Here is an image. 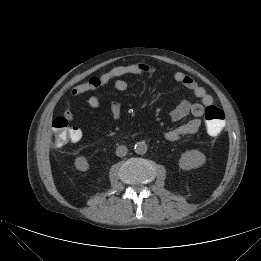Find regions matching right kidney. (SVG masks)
Listing matches in <instances>:
<instances>
[{
	"mask_svg": "<svg viewBox=\"0 0 261 261\" xmlns=\"http://www.w3.org/2000/svg\"><path fill=\"white\" fill-rule=\"evenodd\" d=\"M74 165L79 171H87L89 169V164L84 156H79L75 159Z\"/></svg>",
	"mask_w": 261,
	"mask_h": 261,
	"instance_id": "right-kidney-1",
	"label": "right kidney"
}]
</instances>
